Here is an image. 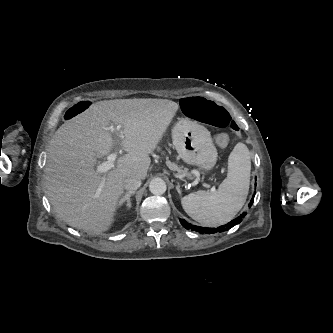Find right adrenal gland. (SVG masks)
Here are the masks:
<instances>
[{
  "label": "right adrenal gland",
  "instance_id": "right-adrenal-gland-1",
  "mask_svg": "<svg viewBox=\"0 0 333 333\" xmlns=\"http://www.w3.org/2000/svg\"><path fill=\"white\" fill-rule=\"evenodd\" d=\"M134 194V192H127L119 201L118 203V207L120 208L123 203L127 202V207L130 210L132 205H131V201H130V197Z\"/></svg>",
  "mask_w": 333,
  "mask_h": 333
}]
</instances>
